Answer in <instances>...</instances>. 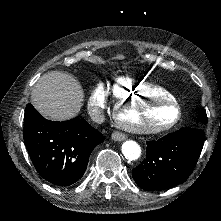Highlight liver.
<instances>
[{
    "label": "liver",
    "mask_w": 221,
    "mask_h": 221,
    "mask_svg": "<svg viewBox=\"0 0 221 221\" xmlns=\"http://www.w3.org/2000/svg\"><path fill=\"white\" fill-rule=\"evenodd\" d=\"M83 99L79 82L71 75L58 71L42 75L31 92L33 107L53 121H65L77 116Z\"/></svg>",
    "instance_id": "obj_1"
}]
</instances>
